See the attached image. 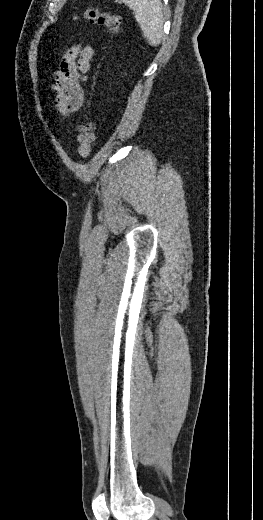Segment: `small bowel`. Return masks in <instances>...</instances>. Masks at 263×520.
<instances>
[{"mask_svg": "<svg viewBox=\"0 0 263 520\" xmlns=\"http://www.w3.org/2000/svg\"><path fill=\"white\" fill-rule=\"evenodd\" d=\"M93 55L94 50L90 46L74 47L64 56L59 70L55 72V106L61 115L68 116L82 107L84 91L80 78L85 79Z\"/></svg>", "mask_w": 263, "mask_h": 520, "instance_id": "obj_1", "label": "small bowel"}]
</instances>
